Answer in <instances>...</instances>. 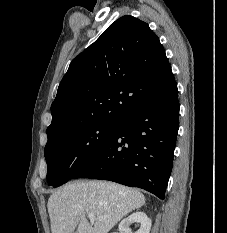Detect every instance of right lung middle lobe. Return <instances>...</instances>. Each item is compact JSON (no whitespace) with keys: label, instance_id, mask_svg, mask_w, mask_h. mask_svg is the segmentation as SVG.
Here are the masks:
<instances>
[{"label":"right lung middle lobe","instance_id":"dd1d6c3e","mask_svg":"<svg viewBox=\"0 0 227 233\" xmlns=\"http://www.w3.org/2000/svg\"><path fill=\"white\" fill-rule=\"evenodd\" d=\"M120 121L84 124L48 140L47 181L58 187L74 177L114 135Z\"/></svg>","mask_w":227,"mask_h":233}]
</instances>
